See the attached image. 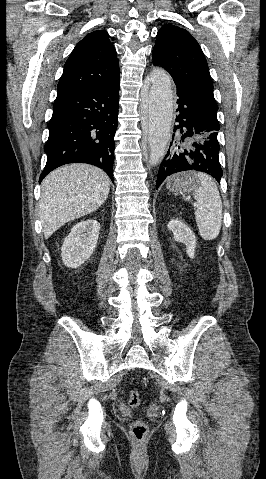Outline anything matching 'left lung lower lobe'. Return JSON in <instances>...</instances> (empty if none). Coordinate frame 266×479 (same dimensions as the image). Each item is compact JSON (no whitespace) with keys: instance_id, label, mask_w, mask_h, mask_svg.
I'll use <instances>...</instances> for the list:
<instances>
[{"instance_id":"left-lung-lower-lobe-1","label":"left lung lower lobe","mask_w":266,"mask_h":479,"mask_svg":"<svg viewBox=\"0 0 266 479\" xmlns=\"http://www.w3.org/2000/svg\"><path fill=\"white\" fill-rule=\"evenodd\" d=\"M179 112L174 127L169 150L160 164L156 180V189L171 174L196 170L207 173L219 183L222 168L219 163V142L217 140L220 125L217 113L186 91L177 88Z\"/></svg>"}]
</instances>
